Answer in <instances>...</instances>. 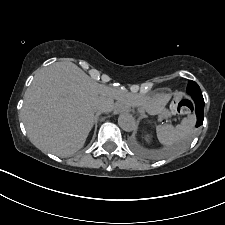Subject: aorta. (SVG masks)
Wrapping results in <instances>:
<instances>
[{"label": "aorta", "mask_w": 225, "mask_h": 225, "mask_svg": "<svg viewBox=\"0 0 225 225\" xmlns=\"http://www.w3.org/2000/svg\"><path fill=\"white\" fill-rule=\"evenodd\" d=\"M120 128L126 132H132L136 129V121L131 114L122 113L118 117Z\"/></svg>", "instance_id": "1"}]
</instances>
